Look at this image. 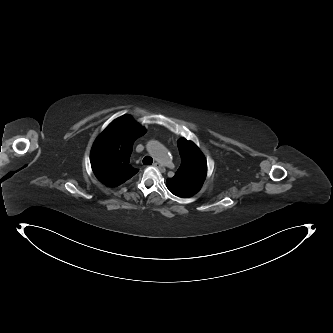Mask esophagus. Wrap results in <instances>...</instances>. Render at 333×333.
Returning <instances> with one entry per match:
<instances>
[{"label": "esophagus", "mask_w": 333, "mask_h": 333, "mask_svg": "<svg viewBox=\"0 0 333 333\" xmlns=\"http://www.w3.org/2000/svg\"><path fill=\"white\" fill-rule=\"evenodd\" d=\"M153 166L156 167V168H158V169H160V170H162V171L164 170L163 167H162V165L159 162H154Z\"/></svg>", "instance_id": "34e87169"}]
</instances>
